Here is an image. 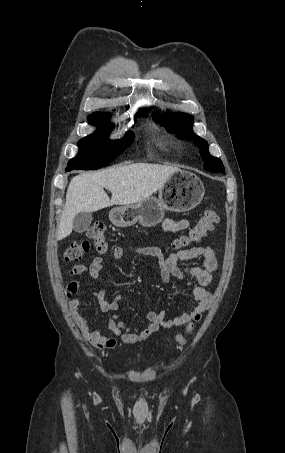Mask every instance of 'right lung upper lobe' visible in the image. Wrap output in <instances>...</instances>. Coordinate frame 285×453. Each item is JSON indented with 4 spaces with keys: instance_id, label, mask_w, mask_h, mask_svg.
Returning a JSON list of instances; mask_svg holds the SVG:
<instances>
[{
    "instance_id": "obj_1",
    "label": "right lung upper lobe",
    "mask_w": 285,
    "mask_h": 453,
    "mask_svg": "<svg viewBox=\"0 0 285 453\" xmlns=\"http://www.w3.org/2000/svg\"><path fill=\"white\" fill-rule=\"evenodd\" d=\"M148 110L147 109H144V110H141L140 112H147Z\"/></svg>"
}]
</instances>
